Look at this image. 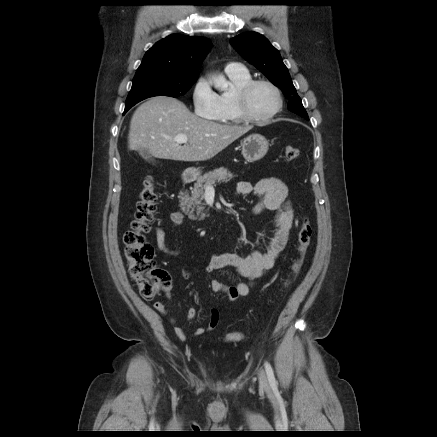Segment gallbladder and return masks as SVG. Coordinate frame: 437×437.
<instances>
[{
	"label": "gallbladder",
	"mask_w": 437,
	"mask_h": 437,
	"mask_svg": "<svg viewBox=\"0 0 437 437\" xmlns=\"http://www.w3.org/2000/svg\"><path fill=\"white\" fill-rule=\"evenodd\" d=\"M138 153L146 161H149V162H154L155 161L153 156L151 155V153L147 149H142V148L138 149Z\"/></svg>",
	"instance_id": "bac80fb5"
}]
</instances>
